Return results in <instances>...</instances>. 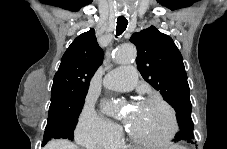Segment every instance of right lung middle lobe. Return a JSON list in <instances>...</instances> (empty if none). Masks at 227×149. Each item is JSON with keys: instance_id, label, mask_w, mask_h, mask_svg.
I'll return each instance as SVG.
<instances>
[{"instance_id": "dd1d6c3e", "label": "right lung middle lobe", "mask_w": 227, "mask_h": 149, "mask_svg": "<svg viewBox=\"0 0 227 149\" xmlns=\"http://www.w3.org/2000/svg\"><path fill=\"white\" fill-rule=\"evenodd\" d=\"M85 97L70 94L51 96L42 146L51 139H73Z\"/></svg>"}]
</instances>
